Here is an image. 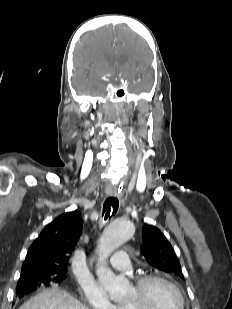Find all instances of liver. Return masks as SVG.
Wrapping results in <instances>:
<instances>
[{"label":"liver","mask_w":232,"mask_h":309,"mask_svg":"<svg viewBox=\"0 0 232 309\" xmlns=\"http://www.w3.org/2000/svg\"><path fill=\"white\" fill-rule=\"evenodd\" d=\"M19 309H89L68 292L53 288L43 290Z\"/></svg>","instance_id":"liver-1"}]
</instances>
